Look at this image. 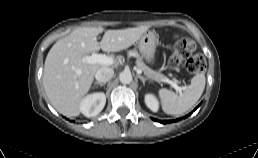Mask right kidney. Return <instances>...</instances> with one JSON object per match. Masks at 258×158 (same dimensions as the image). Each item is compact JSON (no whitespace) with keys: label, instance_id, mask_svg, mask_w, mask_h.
<instances>
[{"label":"right kidney","instance_id":"obj_1","mask_svg":"<svg viewBox=\"0 0 258 158\" xmlns=\"http://www.w3.org/2000/svg\"><path fill=\"white\" fill-rule=\"evenodd\" d=\"M106 104V96L102 92L86 96L80 103V111L86 117L98 115Z\"/></svg>","mask_w":258,"mask_h":158}]
</instances>
